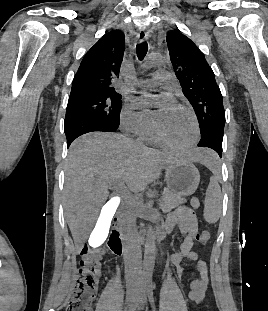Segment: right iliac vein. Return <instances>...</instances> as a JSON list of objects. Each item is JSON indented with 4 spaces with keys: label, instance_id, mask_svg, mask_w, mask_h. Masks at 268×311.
I'll use <instances>...</instances> for the list:
<instances>
[{
    "label": "right iliac vein",
    "instance_id": "1",
    "mask_svg": "<svg viewBox=\"0 0 268 311\" xmlns=\"http://www.w3.org/2000/svg\"><path fill=\"white\" fill-rule=\"evenodd\" d=\"M138 291L136 288H130L127 291V295H126V306L128 309L131 308V306L133 305L136 297H137Z\"/></svg>",
    "mask_w": 268,
    "mask_h": 311
}]
</instances>
